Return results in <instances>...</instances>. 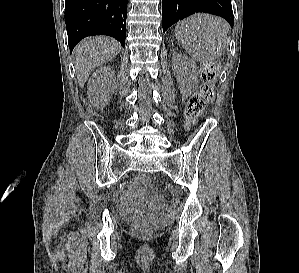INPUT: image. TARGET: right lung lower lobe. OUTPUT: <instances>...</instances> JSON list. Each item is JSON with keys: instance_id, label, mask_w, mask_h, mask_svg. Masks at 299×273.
<instances>
[{"instance_id": "obj_1", "label": "right lung lower lobe", "mask_w": 299, "mask_h": 273, "mask_svg": "<svg viewBox=\"0 0 299 273\" xmlns=\"http://www.w3.org/2000/svg\"><path fill=\"white\" fill-rule=\"evenodd\" d=\"M127 0H65V23L72 52L83 38L108 35L125 46Z\"/></svg>"}]
</instances>
